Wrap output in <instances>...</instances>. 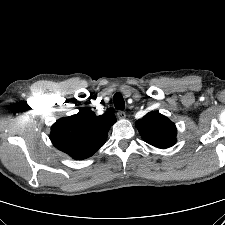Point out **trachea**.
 Instances as JSON below:
<instances>
[{"label":"trachea","mask_w":225,"mask_h":225,"mask_svg":"<svg viewBox=\"0 0 225 225\" xmlns=\"http://www.w3.org/2000/svg\"><path fill=\"white\" fill-rule=\"evenodd\" d=\"M114 106L118 110H124L125 108V102L120 93H116L113 97Z\"/></svg>","instance_id":"obj_1"}]
</instances>
